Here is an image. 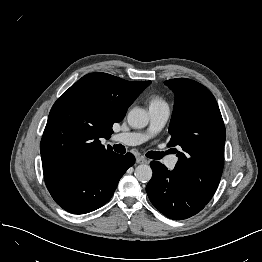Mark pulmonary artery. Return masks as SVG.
<instances>
[{
	"instance_id": "1",
	"label": "pulmonary artery",
	"mask_w": 262,
	"mask_h": 262,
	"mask_svg": "<svg viewBox=\"0 0 262 262\" xmlns=\"http://www.w3.org/2000/svg\"><path fill=\"white\" fill-rule=\"evenodd\" d=\"M170 114L167 104L149 106L150 125L146 132H125L113 136V141L121 142L128 146H136L146 142L155 133L159 132L166 124ZM176 158L168 157L165 164L168 168H174Z\"/></svg>"
}]
</instances>
